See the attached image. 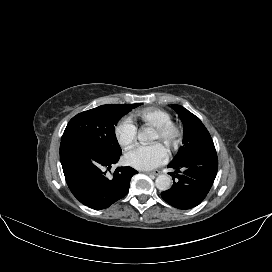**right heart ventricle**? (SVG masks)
Segmentation results:
<instances>
[{"instance_id":"e07e8e85","label":"right heart ventricle","mask_w":272,"mask_h":272,"mask_svg":"<svg viewBox=\"0 0 272 272\" xmlns=\"http://www.w3.org/2000/svg\"><path fill=\"white\" fill-rule=\"evenodd\" d=\"M132 116L134 119L154 128L172 119L168 111L157 107H147L137 110Z\"/></svg>"}]
</instances>
